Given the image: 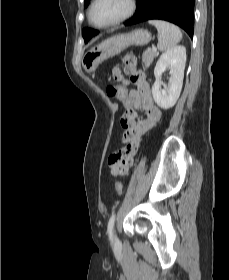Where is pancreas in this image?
Wrapping results in <instances>:
<instances>
[{
	"mask_svg": "<svg viewBox=\"0 0 229 280\" xmlns=\"http://www.w3.org/2000/svg\"><path fill=\"white\" fill-rule=\"evenodd\" d=\"M157 56H158L157 51H153L151 49L146 50L142 55V61L145 67H149L153 59Z\"/></svg>",
	"mask_w": 229,
	"mask_h": 280,
	"instance_id": "obj_1",
	"label": "pancreas"
}]
</instances>
